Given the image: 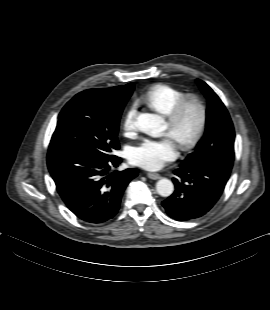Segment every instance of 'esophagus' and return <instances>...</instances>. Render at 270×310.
<instances>
[{
	"instance_id": "34e87169",
	"label": "esophagus",
	"mask_w": 270,
	"mask_h": 310,
	"mask_svg": "<svg viewBox=\"0 0 270 310\" xmlns=\"http://www.w3.org/2000/svg\"><path fill=\"white\" fill-rule=\"evenodd\" d=\"M147 177L152 180H157L161 178V176L158 173H151V172L147 173Z\"/></svg>"
}]
</instances>
